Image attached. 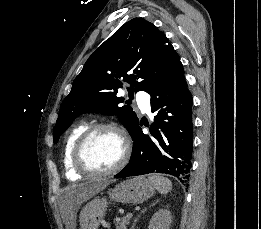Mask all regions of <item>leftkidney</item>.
<instances>
[{
	"instance_id": "1",
	"label": "left kidney",
	"mask_w": 261,
	"mask_h": 229,
	"mask_svg": "<svg viewBox=\"0 0 261 229\" xmlns=\"http://www.w3.org/2000/svg\"><path fill=\"white\" fill-rule=\"evenodd\" d=\"M172 223V215L169 209H159L153 215L148 229H170Z\"/></svg>"
}]
</instances>
